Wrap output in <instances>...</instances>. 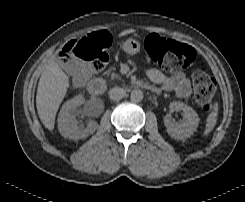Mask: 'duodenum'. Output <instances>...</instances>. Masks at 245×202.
<instances>
[{
    "mask_svg": "<svg viewBox=\"0 0 245 202\" xmlns=\"http://www.w3.org/2000/svg\"><path fill=\"white\" fill-rule=\"evenodd\" d=\"M105 82L101 78H93L89 80L87 84V89L92 96H99L105 91ZM137 87L143 88L145 90L158 93V89L152 86L148 82H140L137 84Z\"/></svg>",
    "mask_w": 245,
    "mask_h": 202,
    "instance_id": "1",
    "label": "duodenum"
}]
</instances>
